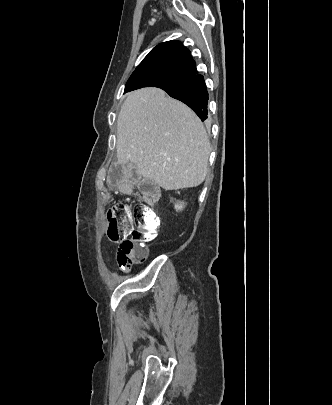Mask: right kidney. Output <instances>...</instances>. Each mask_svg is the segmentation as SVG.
<instances>
[{"label": "right kidney", "instance_id": "right-kidney-1", "mask_svg": "<svg viewBox=\"0 0 332 405\" xmlns=\"http://www.w3.org/2000/svg\"><path fill=\"white\" fill-rule=\"evenodd\" d=\"M183 207H184V203L183 202H179V204H175V209H176V211H178V210H182L183 209Z\"/></svg>", "mask_w": 332, "mask_h": 405}]
</instances>
